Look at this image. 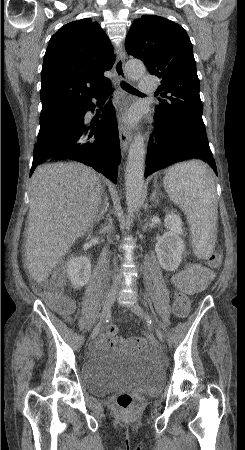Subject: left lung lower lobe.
Returning a JSON list of instances; mask_svg holds the SVG:
<instances>
[{"label": "left lung lower lobe", "mask_w": 245, "mask_h": 450, "mask_svg": "<svg viewBox=\"0 0 245 450\" xmlns=\"http://www.w3.org/2000/svg\"><path fill=\"white\" fill-rule=\"evenodd\" d=\"M155 119L154 134L159 143L154 149L149 145L145 177L155 171L187 159H201L205 161L218 175L208 139H202L184 130L171 128L156 114Z\"/></svg>", "instance_id": "left-lung-lower-lobe-1"}]
</instances>
